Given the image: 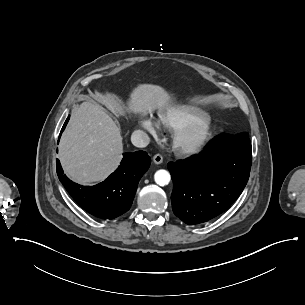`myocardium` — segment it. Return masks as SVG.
<instances>
[{
	"label": "myocardium",
	"instance_id": "obj_1",
	"mask_svg": "<svg viewBox=\"0 0 305 305\" xmlns=\"http://www.w3.org/2000/svg\"><path fill=\"white\" fill-rule=\"evenodd\" d=\"M215 130V120L211 116L186 124L175 135V148L180 153L196 152L211 142Z\"/></svg>",
	"mask_w": 305,
	"mask_h": 305
}]
</instances>
